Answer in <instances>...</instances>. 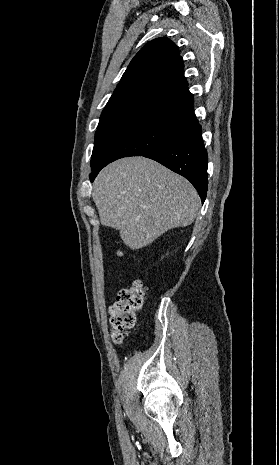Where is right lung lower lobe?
Returning a JSON list of instances; mask_svg holds the SVG:
<instances>
[{
    "label": "right lung lower lobe",
    "instance_id": "right-lung-lower-lobe-1",
    "mask_svg": "<svg viewBox=\"0 0 279 465\" xmlns=\"http://www.w3.org/2000/svg\"><path fill=\"white\" fill-rule=\"evenodd\" d=\"M201 133V126L195 114H192L179 124L178 130L167 142L143 156L153 159L187 178L204 202L208 189V157ZM101 169L102 167H99L92 171L91 181Z\"/></svg>",
    "mask_w": 279,
    "mask_h": 465
}]
</instances>
